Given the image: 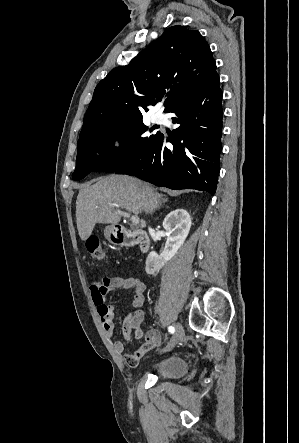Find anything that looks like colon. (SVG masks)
Listing matches in <instances>:
<instances>
[{"instance_id": "colon-1", "label": "colon", "mask_w": 299, "mask_h": 443, "mask_svg": "<svg viewBox=\"0 0 299 443\" xmlns=\"http://www.w3.org/2000/svg\"><path fill=\"white\" fill-rule=\"evenodd\" d=\"M86 248L94 260L102 261L105 259L106 251L97 236H89L87 238Z\"/></svg>"}]
</instances>
